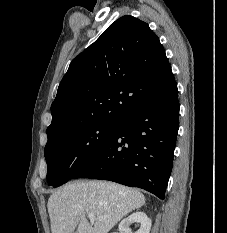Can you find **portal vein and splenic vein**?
Wrapping results in <instances>:
<instances>
[{"label": "portal vein and splenic vein", "instance_id": "obj_1", "mask_svg": "<svg viewBox=\"0 0 227 233\" xmlns=\"http://www.w3.org/2000/svg\"><path fill=\"white\" fill-rule=\"evenodd\" d=\"M88 217H89V219H90V221H93V220H95V214H93V213H89L88 214ZM98 219H104V217H98Z\"/></svg>", "mask_w": 227, "mask_h": 233}]
</instances>
